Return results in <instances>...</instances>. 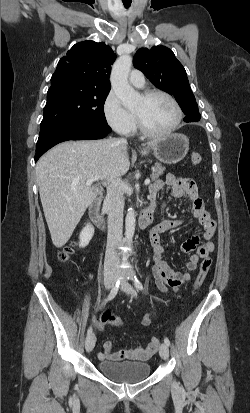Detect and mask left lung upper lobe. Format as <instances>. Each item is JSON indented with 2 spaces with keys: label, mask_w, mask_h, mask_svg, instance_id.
Instances as JSON below:
<instances>
[{
  "label": "left lung upper lobe",
  "mask_w": 250,
  "mask_h": 413,
  "mask_svg": "<svg viewBox=\"0 0 250 413\" xmlns=\"http://www.w3.org/2000/svg\"><path fill=\"white\" fill-rule=\"evenodd\" d=\"M133 65L157 88L173 95L186 116L201 117L186 71L169 48H141L134 56Z\"/></svg>",
  "instance_id": "obj_1"
}]
</instances>
